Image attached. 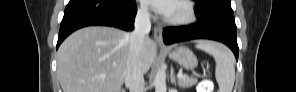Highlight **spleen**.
I'll return each instance as SVG.
<instances>
[{
	"mask_svg": "<svg viewBox=\"0 0 296 92\" xmlns=\"http://www.w3.org/2000/svg\"><path fill=\"white\" fill-rule=\"evenodd\" d=\"M196 48L212 55L215 59V76L219 85L218 92H232L235 81V68L231 51L226 46L211 41H200Z\"/></svg>",
	"mask_w": 296,
	"mask_h": 92,
	"instance_id": "obj_1",
	"label": "spleen"
}]
</instances>
